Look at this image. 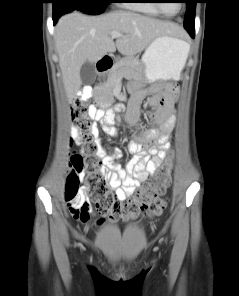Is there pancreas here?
<instances>
[{
  "label": "pancreas",
  "mask_w": 239,
  "mask_h": 296,
  "mask_svg": "<svg viewBox=\"0 0 239 296\" xmlns=\"http://www.w3.org/2000/svg\"><path fill=\"white\" fill-rule=\"evenodd\" d=\"M142 75V64L134 58L118 60L108 72L107 81L95 87L94 94L97 98L110 102L114 86L123 77L137 78Z\"/></svg>",
  "instance_id": "pancreas-1"
}]
</instances>
